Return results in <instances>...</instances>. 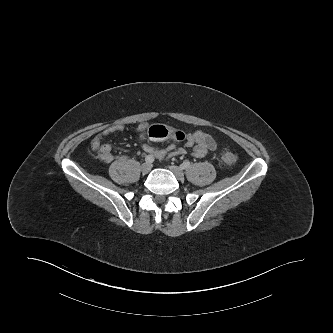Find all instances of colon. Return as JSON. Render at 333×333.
Returning <instances> with one entry per match:
<instances>
[{"instance_id": "obj_1", "label": "colon", "mask_w": 333, "mask_h": 333, "mask_svg": "<svg viewBox=\"0 0 333 333\" xmlns=\"http://www.w3.org/2000/svg\"><path fill=\"white\" fill-rule=\"evenodd\" d=\"M142 137H147L154 140H164L173 138L176 140H183L184 134L176 129L168 128L161 124H155L140 131ZM221 160L226 165H232L236 162L237 156L234 152L224 150L221 152Z\"/></svg>"}]
</instances>
